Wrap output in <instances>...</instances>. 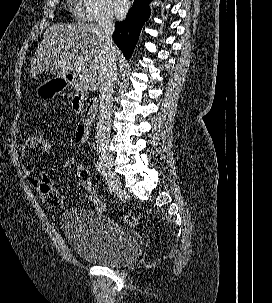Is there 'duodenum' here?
Returning <instances> with one entry per match:
<instances>
[{
  "instance_id": "obj_1",
  "label": "duodenum",
  "mask_w": 272,
  "mask_h": 303,
  "mask_svg": "<svg viewBox=\"0 0 272 303\" xmlns=\"http://www.w3.org/2000/svg\"><path fill=\"white\" fill-rule=\"evenodd\" d=\"M65 82L76 91L72 99V108L79 114L80 121L75 130V140L78 143H83L88 138L89 126L94 120L97 104L94 100L85 101L84 87L73 74H68L65 77Z\"/></svg>"
}]
</instances>
